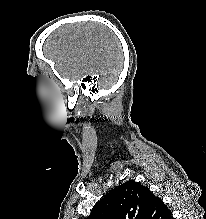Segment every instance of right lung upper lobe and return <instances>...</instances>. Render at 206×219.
<instances>
[{
  "instance_id": "cb5924a9",
  "label": "right lung upper lobe",
  "mask_w": 206,
  "mask_h": 219,
  "mask_svg": "<svg viewBox=\"0 0 206 219\" xmlns=\"http://www.w3.org/2000/svg\"><path fill=\"white\" fill-rule=\"evenodd\" d=\"M86 219H173L170 209L150 190L129 180L110 191Z\"/></svg>"
}]
</instances>
